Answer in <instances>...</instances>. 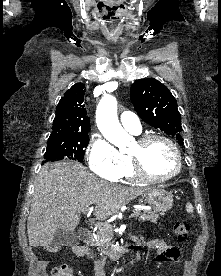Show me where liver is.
<instances>
[{
  "label": "liver",
  "instance_id": "6515ba94",
  "mask_svg": "<svg viewBox=\"0 0 221 276\" xmlns=\"http://www.w3.org/2000/svg\"><path fill=\"white\" fill-rule=\"evenodd\" d=\"M149 190L98 179L78 162L46 164L34 185L27 222L29 245L48 246L58 229L73 232L81 212L92 204H95L94 217L105 220Z\"/></svg>",
  "mask_w": 221,
  "mask_h": 276
}]
</instances>
